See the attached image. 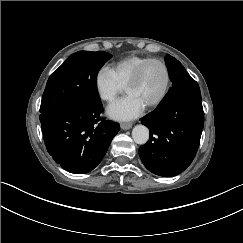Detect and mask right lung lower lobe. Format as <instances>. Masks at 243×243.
<instances>
[{
    "mask_svg": "<svg viewBox=\"0 0 243 243\" xmlns=\"http://www.w3.org/2000/svg\"><path fill=\"white\" fill-rule=\"evenodd\" d=\"M102 103L67 100L41 112L44 142L49 154L68 172L84 174L103 159L120 129L100 117Z\"/></svg>",
    "mask_w": 243,
    "mask_h": 243,
    "instance_id": "right-lung-lower-lobe-1",
    "label": "right lung lower lobe"
}]
</instances>
